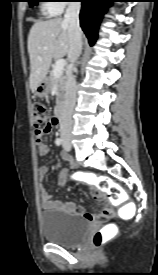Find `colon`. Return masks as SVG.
Instances as JSON below:
<instances>
[{"label": "colon", "instance_id": "1", "mask_svg": "<svg viewBox=\"0 0 158 275\" xmlns=\"http://www.w3.org/2000/svg\"><path fill=\"white\" fill-rule=\"evenodd\" d=\"M33 119L35 126V134L40 139L47 136L52 132L54 127L57 125V119L51 116L47 108L41 103H35L33 105ZM74 179L80 182H87L96 187L103 193L108 195L110 201H122L125 199L126 194L124 190L114 183L109 177L93 176L85 173H78L74 175ZM99 219H107L112 216L110 207L107 205L105 209L96 214ZM115 235V228L111 224L103 226L93 236V244L99 247L104 242L109 240Z\"/></svg>", "mask_w": 158, "mask_h": 275}]
</instances>
